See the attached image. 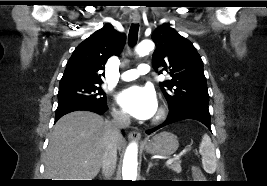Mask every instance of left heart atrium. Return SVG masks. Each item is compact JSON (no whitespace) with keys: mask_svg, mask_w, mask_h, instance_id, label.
Here are the masks:
<instances>
[{"mask_svg":"<svg viewBox=\"0 0 267 186\" xmlns=\"http://www.w3.org/2000/svg\"><path fill=\"white\" fill-rule=\"evenodd\" d=\"M118 102L124 111L140 120L153 117L158 107L154 90L139 85H133L121 91Z\"/></svg>","mask_w":267,"mask_h":186,"instance_id":"obj_1","label":"left heart atrium"}]
</instances>
